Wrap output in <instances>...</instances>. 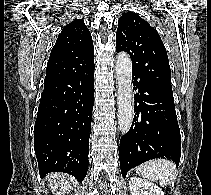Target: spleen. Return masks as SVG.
I'll return each mask as SVG.
<instances>
[{"label": "spleen", "mask_w": 211, "mask_h": 195, "mask_svg": "<svg viewBox=\"0 0 211 195\" xmlns=\"http://www.w3.org/2000/svg\"><path fill=\"white\" fill-rule=\"evenodd\" d=\"M136 172L143 178L160 185L170 184L176 177L175 164L167 159H155L138 166Z\"/></svg>", "instance_id": "3e777b00"}]
</instances>
